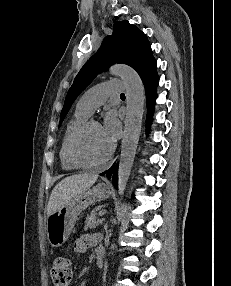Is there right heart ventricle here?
<instances>
[{
	"mask_svg": "<svg viewBox=\"0 0 231 286\" xmlns=\"http://www.w3.org/2000/svg\"><path fill=\"white\" fill-rule=\"evenodd\" d=\"M89 115L76 109L73 117L68 122L59 148V160L62 168L67 171L77 170L79 167L75 166L68 157L69 141L78 129V127L88 119Z\"/></svg>",
	"mask_w": 231,
	"mask_h": 286,
	"instance_id": "e07e8e85",
	"label": "right heart ventricle"
}]
</instances>
